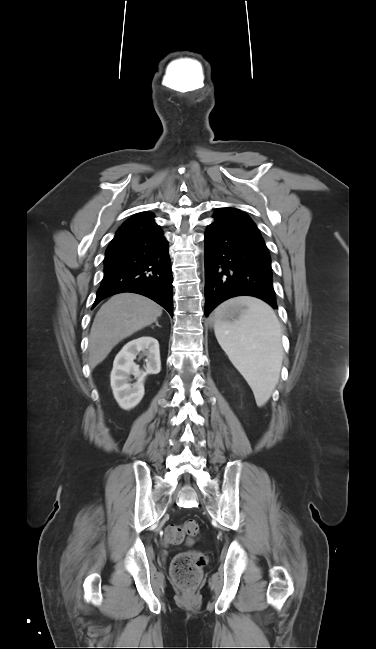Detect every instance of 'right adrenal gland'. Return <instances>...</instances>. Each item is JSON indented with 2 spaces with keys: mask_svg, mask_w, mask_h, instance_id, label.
Instances as JSON below:
<instances>
[{
  "mask_svg": "<svg viewBox=\"0 0 376 649\" xmlns=\"http://www.w3.org/2000/svg\"><path fill=\"white\" fill-rule=\"evenodd\" d=\"M156 326L160 327V325L158 324V322H156Z\"/></svg>",
  "mask_w": 376,
  "mask_h": 649,
  "instance_id": "obj_1",
  "label": "right adrenal gland"
}]
</instances>
